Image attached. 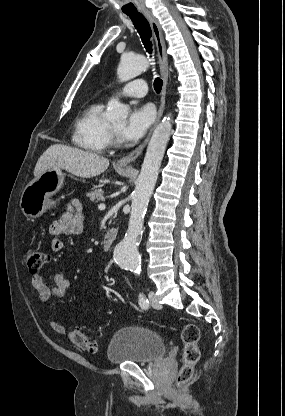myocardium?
I'll use <instances>...</instances> for the list:
<instances>
[{
	"instance_id": "myocardium-1",
	"label": "myocardium",
	"mask_w": 285,
	"mask_h": 416,
	"mask_svg": "<svg viewBox=\"0 0 285 416\" xmlns=\"http://www.w3.org/2000/svg\"><path fill=\"white\" fill-rule=\"evenodd\" d=\"M108 133H109L110 142L112 143V145L118 144L117 132L114 129H112L110 125H108Z\"/></svg>"
}]
</instances>
